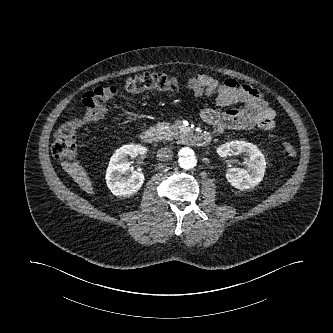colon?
<instances>
[{
  "label": "colon",
  "mask_w": 333,
  "mask_h": 333,
  "mask_svg": "<svg viewBox=\"0 0 333 333\" xmlns=\"http://www.w3.org/2000/svg\"><path fill=\"white\" fill-rule=\"evenodd\" d=\"M178 82L163 74L146 73L127 79L124 91L126 93H140L146 90L175 91ZM117 96V89L113 86H99L88 91L83 98L85 112L81 117L73 118L61 123L53 134L51 151L55 158L71 160L76 155V131L82 126L96 123L106 113V104ZM284 156L294 158L296 147L288 142L282 143Z\"/></svg>",
  "instance_id": "5ec220e1"
}]
</instances>
